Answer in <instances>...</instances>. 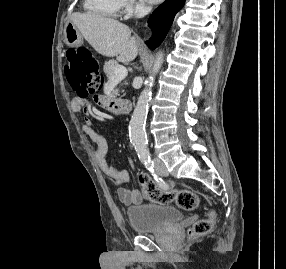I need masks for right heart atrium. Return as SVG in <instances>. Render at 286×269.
Masks as SVG:
<instances>
[{
	"label": "right heart atrium",
	"instance_id": "d8ad5b80",
	"mask_svg": "<svg viewBox=\"0 0 286 269\" xmlns=\"http://www.w3.org/2000/svg\"><path fill=\"white\" fill-rule=\"evenodd\" d=\"M124 8L130 14H140L148 10V7L139 0H124Z\"/></svg>",
	"mask_w": 286,
	"mask_h": 269
}]
</instances>
